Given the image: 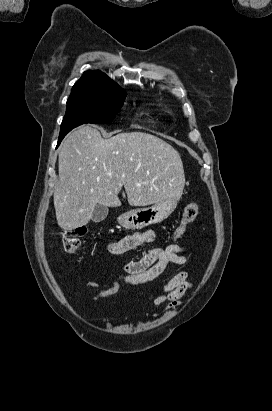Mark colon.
<instances>
[{"instance_id": "colon-1", "label": "colon", "mask_w": 272, "mask_h": 411, "mask_svg": "<svg viewBox=\"0 0 272 411\" xmlns=\"http://www.w3.org/2000/svg\"><path fill=\"white\" fill-rule=\"evenodd\" d=\"M199 212V207L196 203L187 204L182 212L181 220L174 231V237H181L188 226L193 223ZM88 230L86 227H79L75 230L62 231L63 248L68 254H76L81 246V239L86 236Z\"/></svg>"}]
</instances>
